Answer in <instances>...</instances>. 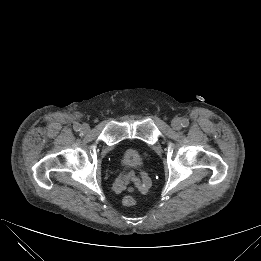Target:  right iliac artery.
<instances>
[{
	"label": "right iliac artery",
	"instance_id": "82829eb1",
	"mask_svg": "<svg viewBox=\"0 0 261 261\" xmlns=\"http://www.w3.org/2000/svg\"><path fill=\"white\" fill-rule=\"evenodd\" d=\"M74 130L75 131H80L81 130V126L79 124L74 126Z\"/></svg>",
	"mask_w": 261,
	"mask_h": 261
}]
</instances>
